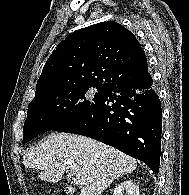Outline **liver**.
<instances>
[{
	"mask_svg": "<svg viewBox=\"0 0 189 195\" xmlns=\"http://www.w3.org/2000/svg\"><path fill=\"white\" fill-rule=\"evenodd\" d=\"M23 164L41 170L43 181L57 183L64 173L86 180L80 195H101L113 180L137 167L134 158L111 146L68 133H51L24 154Z\"/></svg>",
	"mask_w": 189,
	"mask_h": 195,
	"instance_id": "1",
	"label": "liver"
}]
</instances>
